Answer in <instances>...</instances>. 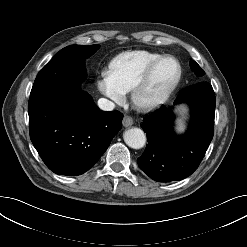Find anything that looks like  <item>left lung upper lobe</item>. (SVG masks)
<instances>
[{
  "mask_svg": "<svg viewBox=\"0 0 247 247\" xmlns=\"http://www.w3.org/2000/svg\"><path fill=\"white\" fill-rule=\"evenodd\" d=\"M190 65L192 70L195 72L197 76H203L205 74V72L200 68V66L195 61H191Z\"/></svg>",
  "mask_w": 247,
  "mask_h": 247,
  "instance_id": "5c2ea615",
  "label": "left lung upper lobe"
}]
</instances>
